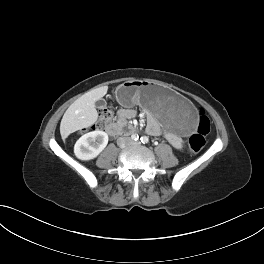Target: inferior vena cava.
<instances>
[{"instance_id":"inferior-vena-cava-1","label":"inferior vena cava","mask_w":264,"mask_h":264,"mask_svg":"<svg viewBox=\"0 0 264 264\" xmlns=\"http://www.w3.org/2000/svg\"><path fill=\"white\" fill-rule=\"evenodd\" d=\"M122 139H124V138H119V141H121Z\"/></svg>"}]
</instances>
